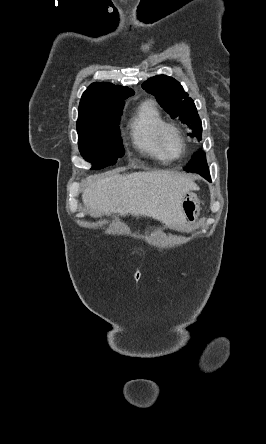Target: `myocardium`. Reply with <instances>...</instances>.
I'll list each match as a JSON object with an SVG mask.
<instances>
[{"mask_svg": "<svg viewBox=\"0 0 266 444\" xmlns=\"http://www.w3.org/2000/svg\"><path fill=\"white\" fill-rule=\"evenodd\" d=\"M167 129H172L173 131H175L180 139L181 142V150L178 156H182L186 150V141H185V137L181 131V129L174 123L171 122H163L160 124V126L158 127L157 130V143L158 146L160 148V150L166 155V157H171V155L167 152L166 148L164 147L163 144V134Z\"/></svg>", "mask_w": 266, "mask_h": 444, "instance_id": "f54148a6", "label": "myocardium"}]
</instances>
